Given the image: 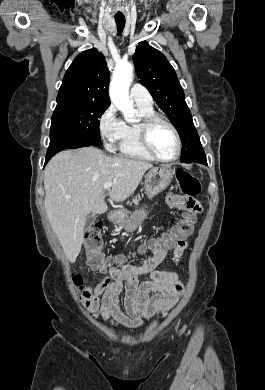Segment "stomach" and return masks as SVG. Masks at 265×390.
I'll return each instance as SVG.
<instances>
[{"label": "stomach", "mask_w": 265, "mask_h": 390, "mask_svg": "<svg viewBox=\"0 0 265 390\" xmlns=\"http://www.w3.org/2000/svg\"><path fill=\"white\" fill-rule=\"evenodd\" d=\"M174 176V171L169 168H153L145 175V194L148 198H153L164 191ZM147 212L142 208L136 210L130 217L119 215L115 221L123 226L126 231H134L146 217Z\"/></svg>", "instance_id": "obj_1"}]
</instances>
